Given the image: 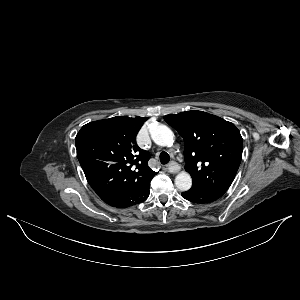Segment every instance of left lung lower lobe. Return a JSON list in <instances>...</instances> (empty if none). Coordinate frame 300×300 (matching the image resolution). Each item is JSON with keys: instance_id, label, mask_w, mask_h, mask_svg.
Returning a JSON list of instances; mask_svg holds the SVG:
<instances>
[{"instance_id": "1", "label": "left lung lower lobe", "mask_w": 300, "mask_h": 300, "mask_svg": "<svg viewBox=\"0 0 300 300\" xmlns=\"http://www.w3.org/2000/svg\"><path fill=\"white\" fill-rule=\"evenodd\" d=\"M223 194L224 193L218 191H209L191 187V189L182 193V197L191 202L204 204L219 199Z\"/></svg>"}]
</instances>
